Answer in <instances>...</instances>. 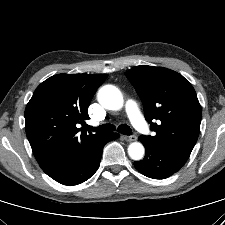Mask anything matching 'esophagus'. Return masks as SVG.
<instances>
[{"mask_svg": "<svg viewBox=\"0 0 225 225\" xmlns=\"http://www.w3.org/2000/svg\"><path fill=\"white\" fill-rule=\"evenodd\" d=\"M122 138L127 141V142H132L135 141L137 139V137L135 135H131V136H122Z\"/></svg>", "mask_w": 225, "mask_h": 225, "instance_id": "1", "label": "esophagus"}]
</instances>
